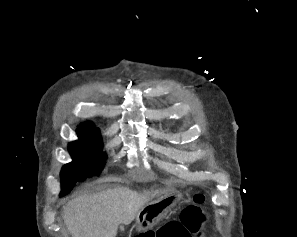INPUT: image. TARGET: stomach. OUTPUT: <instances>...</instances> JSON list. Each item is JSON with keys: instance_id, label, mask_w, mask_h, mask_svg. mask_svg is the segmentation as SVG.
Listing matches in <instances>:
<instances>
[{"instance_id": "obj_1", "label": "stomach", "mask_w": 297, "mask_h": 237, "mask_svg": "<svg viewBox=\"0 0 297 237\" xmlns=\"http://www.w3.org/2000/svg\"><path fill=\"white\" fill-rule=\"evenodd\" d=\"M180 199V194L172 193L144 206L137 214L136 229L139 232H147L152 229Z\"/></svg>"}]
</instances>
